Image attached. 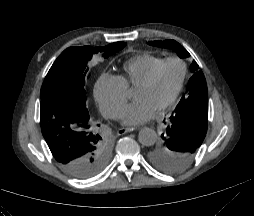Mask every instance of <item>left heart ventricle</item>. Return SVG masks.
I'll list each match as a JSON object with an SVG mask.
<instances>
[{"instance_id":"1","label":"left heart ventricle","mask_w":254,"mask_h":216,"mask_svg":"<svg viewBox=\"0 0 254 216\" xmlns=\"http://www.w3.org/2000/svg\"><path fill=\"white\" fill-rule=\"evenodd\" d=\"M180 74L181 69L178 64H166L152 85L135 88L133 92L134 99L145 100L158 110L172 97L177 87Z\"/></svg>"}]
</instances>
